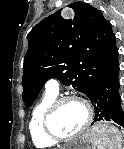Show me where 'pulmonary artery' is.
I'll list each match as a JSON object with an SVG mask.
<instances>
[{"mask_svg": "<svg viewBox=\"0 0 124 149\" xmlns=\"http://www.w3.org/2000/svg\"><path fill=\"white\" fill-rule=\"evenodd\" d=\"M59 88V82L56 79H50L46 83L47 92L58 94Z\"/></svg>", "mask_w": 124, "mask_h": 149, "instance_id": "obj_1", "label": "pulmonary artery"}]
</instances>
